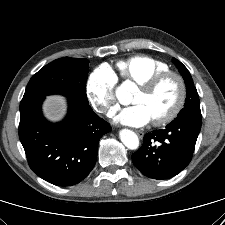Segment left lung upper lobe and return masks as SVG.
<instances>
[{
    "instance_id": "left-lung-upper-lobe-1",
    "label": "left lung upper lobe",
    "mask_w": 225,
    "mask_h": 225,
    "mask_svg": "<svg viewBox=\"0 0 225 225\" xmlns=\"http://www.w3.org/2000/svg\"><path fill=\"white\" fill-rule=\"evenodd\" d=\"M174 62L179 68V71L182 73L186 83V87H187L186 103L184 108L179 112L177 118H182L187 115H193V114L201 115L199 96L191 76L187 74L189 72L187 71L186 67L182 63L178 62L176 59H174Z\"/></svg>"
}]
</instances>
